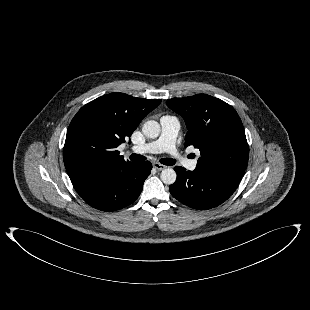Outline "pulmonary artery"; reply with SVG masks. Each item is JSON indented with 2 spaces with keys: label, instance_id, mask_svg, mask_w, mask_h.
Returning <instances> with one entry per match:
<instances>
[{
  "label": "pulmonary artery",
  "instance_id": "pulmonary-artery-1",
  "mask_svg": "<svg viewBox=\"0 0 310 310\" xmlns=\"http://www.w3.org/2000/svg\"><path fill=\"white\" fill-rule=\"evenodd\" d=\"M160 124L161 134L158 139L141 146H133L131 150L138 154L167 152L188 170H195L198 163L197 159H187L176 150V138L180 131L179 120L175 116L164 115L160 119Z\"/></svg>",
  "mask_w": 310,
  "mask_h": 310
}]
</instances>
